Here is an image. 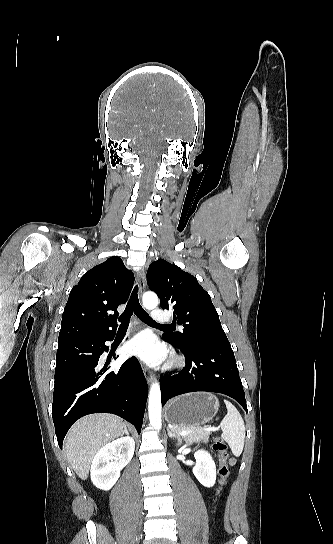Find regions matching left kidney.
<instances>
[{
    "label": "left kidney",
    "instance_id": "1",
    "mask_svg": "<svg viewBox=\"0 0 333 544\" xmlns=\"http://www.w3.org/2000/svg\"><path fill=\"white\" fill-rule=\"evenodd\" d=\"M194 457L196 464L193 467V474L205 487H212L216 481V466L211 455L204 450H198Z\"/></svg>",
    "mask_w": 333,
    "mask_h": 544
}]
</instances>
